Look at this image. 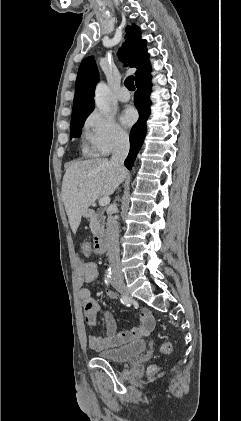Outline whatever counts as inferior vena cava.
Here are the masks:
<instances>
[{"label": "inferior vena cava", "mask_w": 241, "mask_h": 421, "mask_svg": "<svg viewBox=\"0 0 241 421\" xmlns=\"http://www.w3.org/2000/svg\"><path fill=\"white\" fill-rule=\"evenodd\" d=\"M129 152V137L127 135L120 136L114 146L111 163L119 170H124V160ZM117 210L116 204L112 206L111 212ZM107 254L110 267L112 268V276L122 278L119 256V229L116 219L110 215L107 219L106 230Z\"/></svg>", "instance_id": "inferior-vena-cava-1"}]
</instances>
